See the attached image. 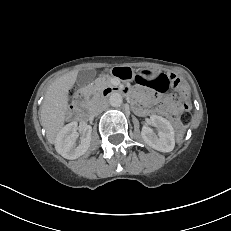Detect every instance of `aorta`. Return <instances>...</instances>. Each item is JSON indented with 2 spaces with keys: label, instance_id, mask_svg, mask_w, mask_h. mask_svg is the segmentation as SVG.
Instances as JSON below:
<instances>
[{
  "label": "aorta",
  "instance_id": "1",
  "mask_svg": "<svg viewBox=\"0 0 231 231\" xmlns=\"http://www.w3.org/2000/svg\"><path fill=\"white\" fill-rule=\"evenodd\" d=\"M109 103L113 107H120L123 103V99H122L121 94L112 93L109 97Z\"/></svg>",
  "mask_w": 231,
  "mask_h": 231
}]
</instances>
